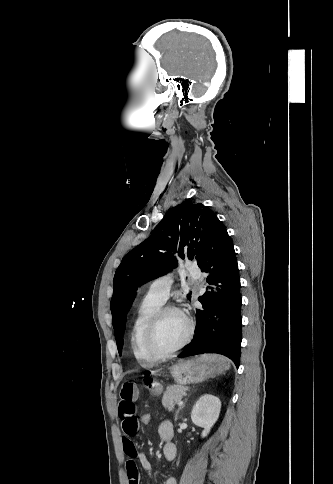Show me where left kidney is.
I'll list each match as a JSON object with an SVG mask.
<instances>
[{
    "mask_svg": "<svg viewBox=\"0 0 333 484\" xmlns=\"http://www.w3.org/2000/svg\"><path fill=\"white\" fill-rule=\"evenodd\" d=\"M220 410L221 402L219 398L210 394L201 396L193 406L191 419L195 425L204 429L201 433L203 438L210 433L219 417Z\"/></svg>",
    "mask_w": 333,
    "mask_h": 484,
    "instance_id": "1",
    "label": "left kidney"
}]
</instances>
